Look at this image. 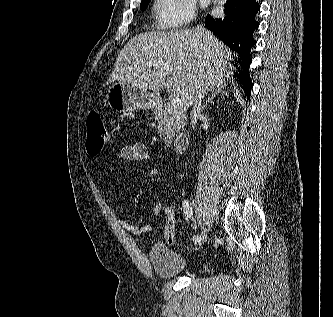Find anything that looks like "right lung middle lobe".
<instances>
[{"label": "right lung middle lobe", "instance_id": "obj_1", "mask_svg": "<svg viewBox=\"0 0 333 317\" xmlns=\"http://www.w3.org/2000/svg\"><path fill=\"white\" fill-rule=\"evenodd\" d=\"M149 2H150V0L142 1L141 4H140V8H141V10H146V8H147Z\"/></svg>", "mask_w": 333, "mask_h": 317}]
</instances>
